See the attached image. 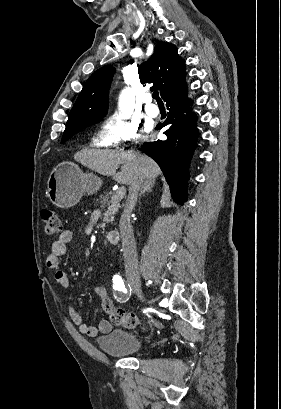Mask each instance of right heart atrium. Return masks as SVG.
I'll return each mask as SVG.
<instances>
[{
    "mask_svg": "<svg viewBox=\"0 0 281 409\" xmlns=\"http://www.w3.org/2000/svg\"><path fill=\"white\" fill-rule=\"evenodd\" d=\"M133 115H119L117 119H105L98 133L100 144L109 147L122 148L129 144H139L145 134H149L151 126L143 129L132 119Z\"/></svg>",
    "mask_w": 281,
    "mask_h": 409,
    "instance_id": "right-heart-atrium-1",
    "label": "right heart atrium"
}]
</instances>
